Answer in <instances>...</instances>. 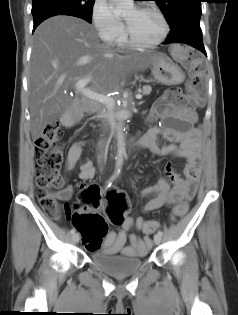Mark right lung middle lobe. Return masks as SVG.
I'll use <instances>...</instances> for the list:
<instances>
[{"label":"right lung middle lobe","instance_id":"right-lung-middle-lobe-1","mask_svg":"<svg viewBox=\"0 0 238 315\" xmlns=\"http://www.w3.org/2000/svg\"><path fill=\"white\" fill-rule=\"evenodd\" d=\"M95 0H33L32 14L45 9H66L91 19Z\"/></svg>","mask_w":238,"mask_h":315}]
</instances>
